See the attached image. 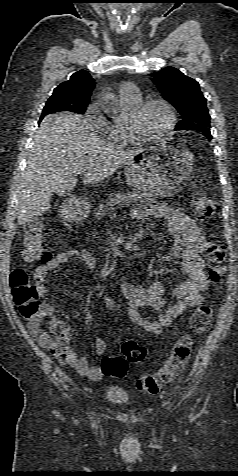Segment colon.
Wrapping results in <instances>:
<instances>
[{"label":"colon","mask_w":238,"mask_h":476,"mask_svg":"<svg viewBox=\"0 0 238 476\" xmlns=\"http://www.w3.org/2000/svg\"><path fill=\"white\" fill-rule=\"evenodd\" d=\"M196 217L203 222L213 219L218 213L216 202L203 191H197L193 198ZM23 259L27 262H46L51 258V251L45 240V230L41 224H33L24 241ZM209 279L218 284L224 277L229 260L227 248L220 242L209 240L206 246ZM13 299L21 316L26 320L33 336L52 353H61L67 348L71 336L69 327L51 326L44 328L46 318L50 315L49 307L40 301L35 284L24 270H15L10 276ZM212 311L208 306H199L193 313L190 324L195 333H204L211 328ZM192 339L181 336L173 345L164 365L154 373L145 374L137 380L138 389L154 394L165 384L179 376L187 365ZM146 358V349L134 341L122 346V356H107L102 361L104 375L121 378L127 373L128 364L141 365Z\"/></svg>","instance_id":"5ec220e1"}]
</instances>
